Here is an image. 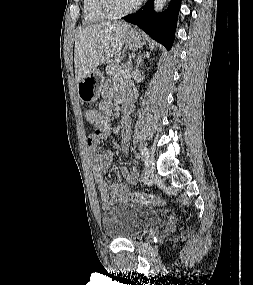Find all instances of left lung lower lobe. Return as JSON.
<instances>
[{
  "mask_svg": "<svg viewBox=\"0 0 253 285\" xmlns=\"http://www.w3.org/2000/svg\"><path fill=\"white\" fill-rule=\"evenodd\" d=\"M153 1L148 0L137 13L127 15L122 19L138 25L150 37L163 44L169 50L175 37L181 0H172L167 10L160 14L154 13Z\"/></svg>",
  "mask_w": 253,
  "mask_h": 285,
  "instance_id": "0a47b994",
  "label": "left lung lower lobe"
}]
</instances>
